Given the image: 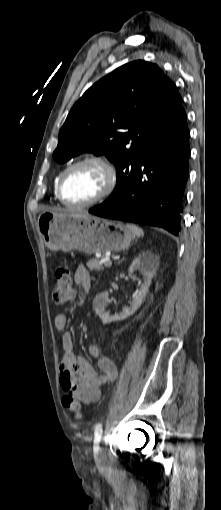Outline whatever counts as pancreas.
<instances>
[{"label": "pancreas", "mask_w": 221, "mask_h": 510, "mask_svg": "<svg viewBox=\"0 0 221 510\" xmlns=\"http://www.w3.org/2000/svg\"><path fill=\"white\" fill-rule=\"evenodd\" d=\"M87 267L90 269V270H94V271H102L104 270V266L102 264H100V261L98 259H91L87 262ZM105 267H108L105 265Z\"/></svg>", "instance_id": "1"}]
</instances>
